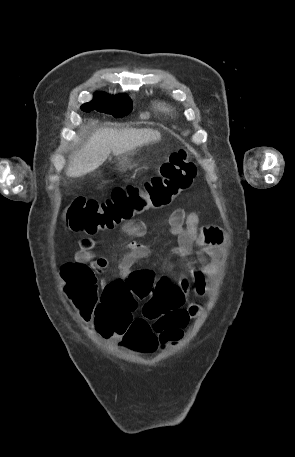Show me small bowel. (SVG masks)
<instances>
[{
    "mask_svg": "<svg viewBox=\"0 0 295 457\" xmlns=\"http://www.w3.org/2000/svg\"><path fill=\"white\" fill-rule=\"evenodd\" d=\"M199 211L186 213L183 209H175L169 218L170 233L177 237V246L173 253L189 258L194 256L190 274L181 277L176 284L175 299L183 305L187 296L193 292L197 296H204L207 291V278L217 274L222 258L224 232L217 226L199 227ZM121 232L128 237L141 238L146 233V226L141 220L132 219L124 223ZM95 240L91 237H83L79 241V250L75 254L76 262H89L96 270L107 267L108 261L104 257H95L93 249ZM129 253L126 254L119 264V272L122 280L132 271L133 266L148 257L150 246L138 240H132L128 244ZM107 283L103 282V286ZM200 310L197 304L188 309V322L194 318ZM89 321L90 319H85ZM187 322V324H188ZM130 348V347H129Z\"/></svg>",
    "mask_w": 295,
    "mask_h": 457,
    "instance_id": "c3829d8e",
    "label": "small bowel"
}]
</instances>
